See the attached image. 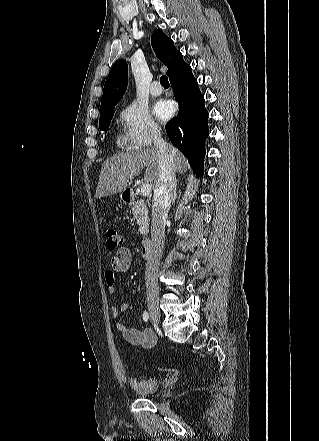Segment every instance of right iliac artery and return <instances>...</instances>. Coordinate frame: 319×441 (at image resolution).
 Returning <instances> with one entry per match:
<instances>
[{"instance_id":"1","label":"right iliac artery","mask_w":319,"mask_h":441,"mask_svg":"<svg viewBox=\"0 0 319 441\" xmlns=\"http://www.w3.org/2000/svg\"><path fill=\"white\" fill-rule=\"evenodd\" d=\"M143 320H144L145 322H147V321L149 320V314H148L147 311H144V312H143Z\"/></svg>"}]
</instances>
